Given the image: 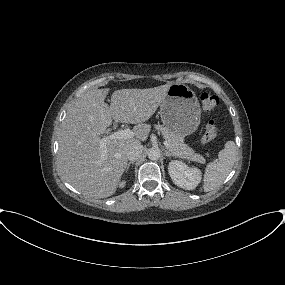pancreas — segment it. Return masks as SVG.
Segmentation results:
<instances>
[{
  "label": "pancreas",
  "instance_id": "cf45deb5",
  "mask_svg": "<svg viewBox=\"0 0 285 285\" xmlns=\"http://www.w3.org/2000/svg\"><path fill=\"white\" fill-rule=\"evenodd\" d=\"M155 128L160 131L166 141H168L169 146L167 149L173 154V156L199 163L205 162V159L200 154L195 153L187 144L184 143L181 135L166 129L162 125H156Z\"/></svg>",
  "mask_w": 285,
  "mask_h": 285
}]
</instances>
